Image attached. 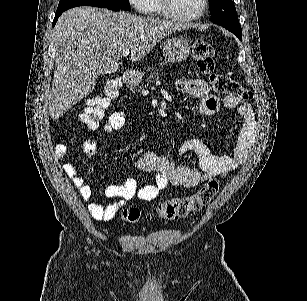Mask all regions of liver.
Segmentation results:
<instances>
[{
    "label": "liver",
    "mask_w": 307,
    "mask_h": 301,
    "mask_svg": "<svg viewBox=\"0 0 307 301\" xmlns=\"http://www.w3.org/2000/svg\"><path fill=\"white\" fill-rule=\"evenodd\" d=\"M177 20L113 12L96 6H75L59 16L53 28L55 68L49 94L50 118H59L96 86L99 74L119 68L123 48L132 62L144 58L153 46L177 30Z\"/></svg>",
    "instance_id": "1"
}]
</instances>
